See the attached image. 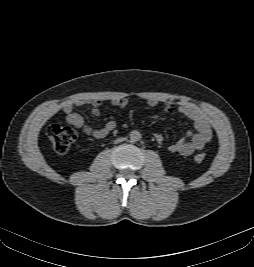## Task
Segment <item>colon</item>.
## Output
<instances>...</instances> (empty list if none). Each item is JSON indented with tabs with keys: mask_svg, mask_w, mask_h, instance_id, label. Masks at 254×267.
I'll return each instance as SVG.
<instances>
[{
	"mask_svg": "<svg viewBox=\"0 0 254 267\" xmlns=\"http://www.w3.org/2000/svg\"><path fill=\"white\" fill-rule=\"evenodd\" d=\"M47 135L52 142L54 150L59 154L67 153L73 142L77 139V131L74 128L60 124L50 125L47 129ZM204 160V153L194 156L196 163H202Z\"/></svg>",
	"mask_w": 254,
	"mask_h": 267,
	"instance_id": "colon-1",
	"label": "colon"
}]
</instances>
